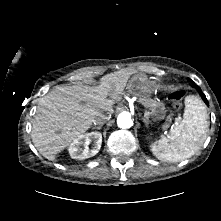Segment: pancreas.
Returning a JSON list of instances; mask_svg holds the SVG:
<instances>
[{
	"label": "pancreas",
	"mask_w": 221,
	"mask_h": 221,
	"mask_svg": "<svg viewBox=\"0 0 221 221\" xmlns=\"http://www.w3.org/2000/svg\"><path fill=\"white\" fill-rule=\"evenodd\" d=\"M139 102L144 105V107L148 108L151 111L150 114L153 116H156L159 119L165 117V106L163 103L146 96H141Z\"/></svg>",
	"instance_id": "1"
}]
</instances>
